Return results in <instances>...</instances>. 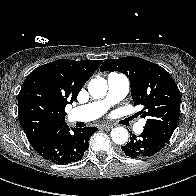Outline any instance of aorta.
<instances>
[{"mask_svg":"<svg viewBox=\"0 0 196 196\" xmlns=\"http://www.w3.org/2000/svg\"><path fill=\"white\" fill-rule=\"evenodd\" d=\"M107 81L102 78L92 79L88 84V91L96 99L103 98L107 93ZM128 131L124 127H116L111 130V137L116 144H125L128 141Z\"/></svg>","mask_w":196,"mask_h":196,"instance_id":"1","label":"aorta"}]
</instances>
